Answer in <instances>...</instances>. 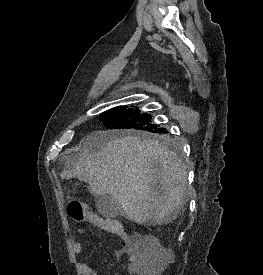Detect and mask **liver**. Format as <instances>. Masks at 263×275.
Masks as SVG:
<instances>
[{"label": "liver", "mask_w": 263, "mask_h": 275, "mask_svg": "<svg viewBox=\"0 0 263 275\" xmlns=\"http://www.w3.org/2000/svg\"><path fill=\"white\" fill-rule=\"evenodd\" d=\"M81 154L62 179L77 177L94 195L109 194L129 220L156 224L175 220L186 202V166L150 138L95 131L81 142Z\"/></svg>", "instance_id": "liver-1"}]
</instances>
